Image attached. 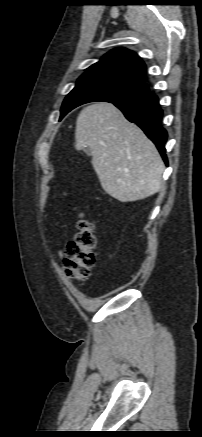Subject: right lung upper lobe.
Segmentation results:
<instances>
[{
    "mask_svg": "<svg viewBox=\"0 0 202 437\" xmlns=\"http://www.w3.org/2000/svg\"><path fill=\"white\" fill-rule=\"evenodd\" d=\"M91 71L118 73L144 82L146 66L133 51L125 48H116L108 52L97 63L91 65L86 70V72Z\"/></svg>",
    "mask_w": 202,
    "mask_h": 437,
    "instance_id": "right-lung-upper-lobe-1",
    "label": "right lung upper lobe"
}]
</instances>
